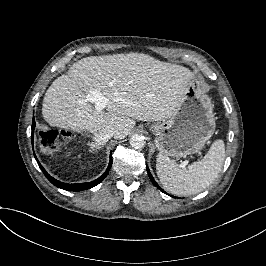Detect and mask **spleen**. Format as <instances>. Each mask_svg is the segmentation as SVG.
<instances>
[{"label":"spleen","instance_id":"1","mask_svg":"<svg viewBox=\"0 0 266 266\" xmlns=\"http://www.w3.org/2000/svg\"><path fill=\"white\" fill-rule=\"evenodd\" d=\"M225 160L224 141L213 142L201 161L188 168L180 167L168 156L159 153L156 170L163 187L172 194L190 196L198 194L212 184L218 177Z\"/></svg>","mask_w":266,"mask_h":266}]
</instances>
